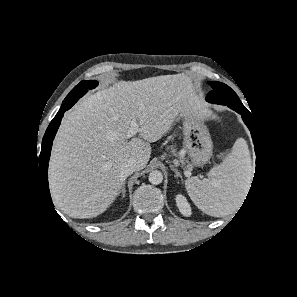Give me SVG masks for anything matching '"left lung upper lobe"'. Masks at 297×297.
<instances>
[{
	"mask_svg": "<svg viewBox=\"0 0 297 297\" xmlns=\"http://www.w3.org/2000/svg\"><path fill=\"white\" fill-rule=\"evenodd\" d=\"M210 86L212 87V91L206 96L208 102L228 105L235 111L236 109L248 111L237 94L226 84L221 82H210Z\"/></svg>",
	"mask_w": 297,
	"mask_h": 297,
	"instance_id": "left-lung-upper-lobe-1",
	"label": "left lung upper lobe"
}]
</instances>
